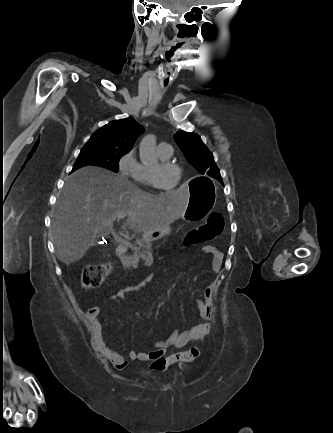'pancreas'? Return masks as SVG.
I'll use <instances>...</instances> for the list:
<instances>
[{
	"label": "pancreas",
	"instance_id": "obj_1",
	"mask_svg": "<svg viewBox=\"0 0 333 433\" xmlns=\"http://www.w3.org/2000/svg\"><path fill=\"white\" fill-rule=\"evenodd\" d=\"M152 238L146 236L145 238L138 239L134 244L129 243L127 247L131 248L133 254L125 258L129 266L137 265L140 259L145 260L146 253L152 249Z\"/></svg>",
	"mask_w": 333,
	"mask_h": 433
}]
</instances>
